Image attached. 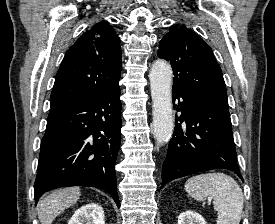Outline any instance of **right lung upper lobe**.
<instances>
[{
    "label": "right lung upper lobe",
    "instance_id": "right-lung-upper-lobe-1",
    "mask_svg": "<svg viewBox=\"0 0 275 224\" xmlns=\"http://www.w3.org/2000/svg\"><path fill=\"white\" fill-rule=\"evenodd\" d=\"M120 39L107 21L82 34L56 74L50 107L86 101L119 87Z\"/></svg>",
    "mask_w": 275,
    "mask_h": 224
}]
</instances>
